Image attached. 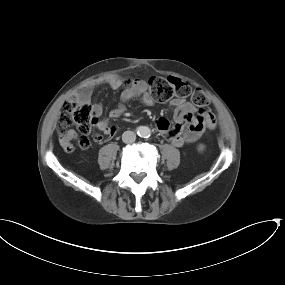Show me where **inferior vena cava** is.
I'll return each mask as SVG.
<instances>
[{
	"label": "inferior vena cava",
	"instance_id": "obj_1",
	"mask_svg": "<svg viewBox=\"0 0 285 285\" xmlns=\"http://www.w3.org/2000/svg\"><path fill=\"white\" fill-rule=\"evenodd\" d=\"M122 140L124 143H133L136 140V134L133 131H125L122 134Z\"/></svg>",
	"mask_w": 285,
	"mask_h": 285
}]
</instances>
